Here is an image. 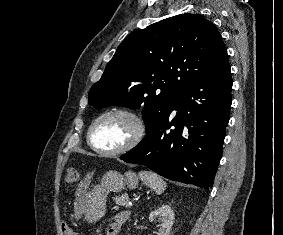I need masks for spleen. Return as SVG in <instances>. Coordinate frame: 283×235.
<instances>
[{
	"label": "spleen",
	"instance_id": "obj_1",
	"mask_svg": "<svg viewBox=\"0 0 283 235\" xmlns=\"http://www.w3.org/2000/svg\"><path fill=\"white\" fill-rule=\"evenodd\" d=\"M140 179L150 188H152L156 194L160 195L166 189V182L158 176L156 173L150 171L139 172Z\"/></svg>",
	"mask_w": 283,
	"mask_h": 235
}]
</instances>
